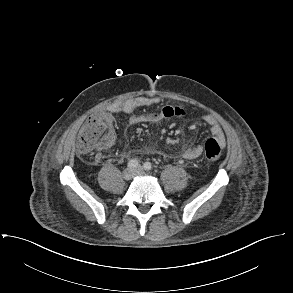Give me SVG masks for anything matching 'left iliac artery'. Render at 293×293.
<instances>
[{"mask_svg":"<svg viewBox=\"0 0 293 293\" xmlns=\"http://www.w3.org/2000/svg\"><path fill=\"white\" fill-rule=\"evenodd\" d=\"M145 170H151L152 169V164L150 162H145L143 165Z\"/></svg>","mask_w":293,"mask_h":293,"instance_id":"obj_1","label":"left iliac artery"}]
</instances>
